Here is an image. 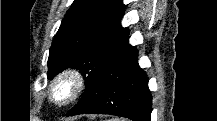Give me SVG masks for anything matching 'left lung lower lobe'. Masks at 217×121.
I'll list each match as a JSON object with an SVG mask.
<instances>
[{
	"mask_svg": "<svg viewBox=\"0 0 217 121\" xmlns=\"http://www.w3.org/2000/svg\"><path fill=\"white\" fill-rule=\"evenodd\" d=\"M151 110L148 77L138 65V51L128 43L127 35L66 115L112 114L150 121Z\"/></svg>",
	"mask_w": 217,
	"mask_h": 121,
	"instance_id": "obj_1",
	"label": "left lung lower lobe"
}]
</instances>
